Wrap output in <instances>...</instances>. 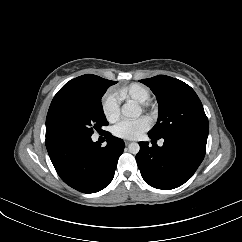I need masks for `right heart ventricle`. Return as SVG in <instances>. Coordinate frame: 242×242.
Here are the masks:
<instances>
[{"instance_id":"e07e8e85","label":"right heart ventricle","mask_w":242,"mask_h":242,"mask_svg":"<svg viewBox=\"0 0 242 242\" xmlns=\"http://www.w3.org/2000/svg\"><path fill=\"white\" fill-rule=\"evenodd\" d=\"M118 96L126 101H132L136 104H143L150 99L151 93L145 86L138 83H133L120 89L118 91Z\"/></svg>"}]
</instances>
